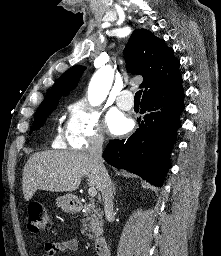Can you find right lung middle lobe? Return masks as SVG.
Here are the masks:
<instances>
[{"label": "right lung middle lobe", "mask_w": 221, "mask_h": 256, "mask_svg": "<svg viewBox=\"0 0 221 256\" xmlns=\"http://www.w3.org/2000/svg\"><path fill=\"white\" fill-rule=\"evenodd\" d=\"M59 99L60 97H54L41 103L38 110L36 111L35 120H34L35 126L33 130L39 129L44 125L47 117L57 107L59 103Z\"/></svg>", "instance_id": "1"}]
</instances>
